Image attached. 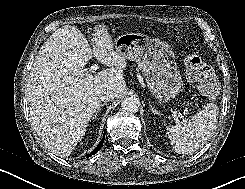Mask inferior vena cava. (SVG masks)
<instances>
[{
    "label": "inferior vena cava",
    "instance_id": "obj_1",
    "mask_svg": "<svg viewBox=\"0 0 245 189\" xmlns=\"http://www.w3.org/2000/svg\"><path fill=\"white\" fill-rule=\"evenodd\" d=\"M114 98H115L114 92L109 89L103 90L99 95V99L103 102H109Z\"/></svg>",
    "mask_w": 245,
    "mask_h": 189
}]
</instances>
